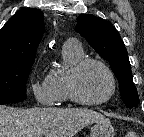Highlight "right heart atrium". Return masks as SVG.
Returning <instances> with one entry per match:
<instances>
[{
    "instance_id": "obj_1",
    "label": "right heart atrium",
    "mask_w": 144,
    "mask_h": 137,
    "mask_svg": "<svg viewBox=\"0 0 144 137\" xmlns=\"http://www.w3.org/2000/svg\"><path fill=\"white\" fill-rule=\"evenodd\" d=\"M29 85L34 98L39 104L50 106L57 102L49 74L33 75L30 78Z\"/></svg>"
}]
</instances>
